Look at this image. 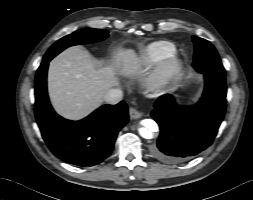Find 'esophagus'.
I'll use <instances>...</instances> for the list:
<instances>
[{
	"label": "esophagus",
	"instance_id": "1",
	"mask_svg": "<svg viewBox=\"0 0 253 200\" xmlns=\"http://www.w3.org/2000/svg\"><path fill=\"white\" fill-rule=\"evenodd\" d=\"M129 114H130L131 118H133V119H138V118L142 117V113L140 111H138L136 108H130Z\"/></svg>",
	"mask_w": 253,
	"mask_h": 200
}]
</instances>
